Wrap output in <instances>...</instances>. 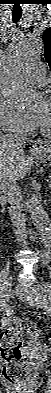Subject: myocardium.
<instances>
[{"label": "myocardium", "mask_w": 51, "mask_h": 393, "mask_svg": "<svg viewBox=\"0 0 51 393\" xmlns=\"http://www.w3.org/2000/svg\"><path fill=\"white\" fill-rule=\"evenodd\" d=\"M48 102L51 103V98L48 99ZM36 124H37V126H38V128H39L41 134H42L44 137H49V136H51V132L48 131V130H46L38 121L36 122Z\"/></svg>", "instance_id": "f54148a6"}]
</instances>
